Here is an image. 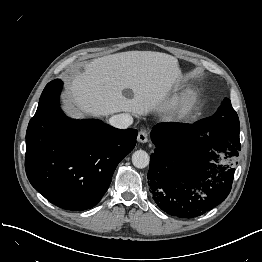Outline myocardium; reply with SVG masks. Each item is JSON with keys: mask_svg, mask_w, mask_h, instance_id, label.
<instances>
[{"mask_svg": "<svg viewBox=\"0 0 262 262\" xmlns=\"http://www.w3.org/2000/svg\"><path fill=\"white\" fill-rule=\"evenodd\" d=\"M198 99V93L194 88H188L181 93L177 102L167 112L169 120L187 118L193 111Z\"/></svg>", "mask_w": 262, "mask_h": 262, "instance_id": "f54148a6", "label": "myocardium"}]
</instances>
